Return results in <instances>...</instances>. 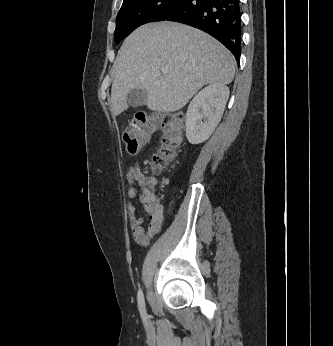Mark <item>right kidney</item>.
Instances as JSON below:
<instances>
[{
	"mask_svg": "<svg viewBox=\"0 0 333 346\" xmlns=\"http://www.w3.org/2000/svg\"><path fill=\"white\" fill-rule=\"evenodd\" d=\"M229 88L221 83H213L202 89L190 102L186 113V137L191 144L206 141L223 115Z\"/></svg>",
	"mask_w": 333,
	"mask_h": 346,
	"instance_id": "ca27d5eb",
	"label": "right kidney"
}]
</instances>
